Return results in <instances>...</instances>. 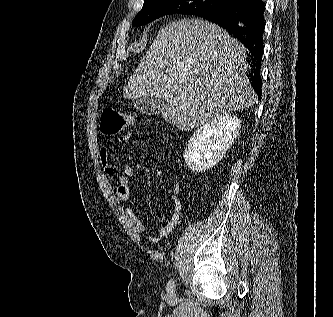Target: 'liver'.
Masks as SVG:
<instances>
[{
    "label": "liver",
    "mask_w": 333,
    "mask_h": 317,
    "mask_svg": "<svg viewBox=\"0 0 333 317\" xmlns=\"http://www.w3.org/2000/svg\"><path fill=\"white\" fill-rule=\"evenodd\" d=\"M247 49L219 26L181 19L163 27L125 86L123 96H161V113L191 130L251 107L255 92L246 76Z\"/></svg>",
    "instance_id": "6515ba94"
}]
</instances>
